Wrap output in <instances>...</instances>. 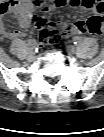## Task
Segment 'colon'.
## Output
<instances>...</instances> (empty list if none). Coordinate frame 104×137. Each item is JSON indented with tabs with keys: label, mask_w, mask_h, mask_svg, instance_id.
I'll return each mask as SVG.
<instances>
[{
	"label": "colon",
	"mask_w": 104,
	"mask_h": 137,
	"mask_svg": "<svg viewBox=\"0 0 104 137\" xmlns=\"http://www.w3.org/2000/svg\"><path fill=\"white\" fill-rule=\"evenodd\" d=\"M102 17L94 16L90 20V25L86 28V31L95 33V35H101L102 29ZM40 28V41L46 44L58 43L64 35H67L68 28L66 27H56L45 25L42 21L37 23Z\"/></svg>",
	"instance_id": "1"
}]
</instances>
